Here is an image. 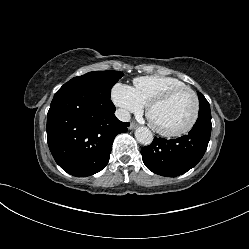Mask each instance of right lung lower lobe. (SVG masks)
Here are the masks:
<instances>
[{"label":"right lung lower lobe","mask_w":249,"mask_h":249,"mask_svg":"<svg viewBox=\"0 0 249 249\" xmlns=\"http://www.w3.org/2000/svg\"><path fill=\"white\" fill-rule=\"evenodd\" d=\"M110 97L95 89L64 84L47 114V142L57 164L67 173L85 177L108 163L112 143L129 123L114 115Z\"/></svg>","instance_id":"obj_1"}]
</instances>
